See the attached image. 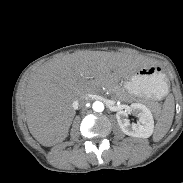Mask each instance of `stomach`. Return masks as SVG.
Returning a JSON list of instances; mask_svg holds the SVG:
<instances>
[{
  "mask_svg": "<svg viewBox=\"0 0 183 183\" xmlns=\"http://www.w3.org/2000/svg\"><path fill=\"white\" fill-rule=\"evenodd\" d=\"M123 88L138 97L159 100L167 93V79L157 67L147 66L125 78Z\"/></svg>",
  "mask_w": 183,
  "mask_h": 183,
  "instance_id": "0dacf381",
  "label": "stomach"
}]
</instances>
